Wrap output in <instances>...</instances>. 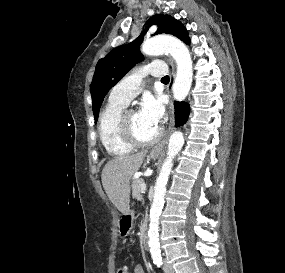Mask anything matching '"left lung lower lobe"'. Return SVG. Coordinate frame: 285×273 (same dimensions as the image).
Here are the masks:
<instances>
[{"label":"left lung lower lobe","mask_w":285,"mask_h":273,"mask_svg":"<svg viewBox=\"0 0 285 273\" xmlns=\"http://www.w3.org/2000/svg\"><path fill=\"white\" fill-rule=\"evenodd\" d=\"M185 43H187V44L190 43L189 38L186 39ZM174 108H175L176 126H181L188 119V115H189V111H190L189 105L187 103H184V102L175 101Z\"/></svg>","instance_id":"1"}]
</instances>
